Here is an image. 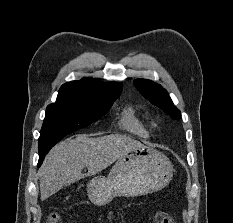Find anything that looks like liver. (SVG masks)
<instances>
[{"label": "liver", "mask_w": 233, "mask_h": 223, "mask_svg": "<svg viewBox=\"0 0 233 223\" xmlns=\"http://www.w3.org/2000/svg\"><path fill=\"white\" fill-rule=\"evenodd\" d=\"M136 145H140V141L121 133L103 137H87L80 133L74 139L68 137L60 141L47 153L38 171L41 199H47L63 185L99 173ZM84 167L87 173H82Z\"/></svg>", "instance_id": "1"}]
</instances>
